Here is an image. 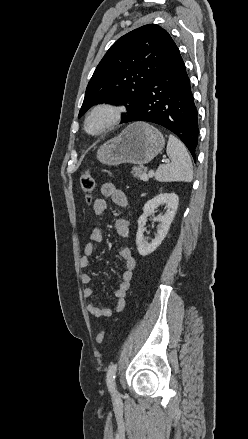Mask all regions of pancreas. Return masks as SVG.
Segmentation results:
<instances>
[{
	"mask_svg": "<svg viewBox=\"0 0 248 439\" xmlns=\"http://www.w3.org/2000/svg\"><path fill=\"white\" fill-rule=\"evenodd\" d=\"M132 174L134 175V177H137L138 179L142 180V177L144 174H146L144 172V167H133L132 169Z\"/></svg>",
	"mask_w": 248,
	"mask_h": 439,
	"instance_id": "cf45deb5",
	"label": "pancreas"
}]
</instances>
